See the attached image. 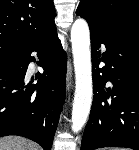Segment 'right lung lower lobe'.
I'll return each mask as SVG.
<instances>
[{
    "label": "right lung lower lobe",
    "instance_id": "1",
    "mask_svg": "<svg viewBox=\"0 0 139 150\" xmlns=\"http://www.w3.org/2000/svg\"><path fill=\"white\" fill-rule=\"evenodd\" d=\"M37 52L44 72L26 85L28 64ZM67 58L52 26L36 42L0 56V137L19 135L50 150L65 95Z\"/></svg>",
    "mask_w": 139,
    "mask_h": 150
}]
</instances>
